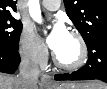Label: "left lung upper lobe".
Masks as SVG:
<instances>
[{
  "mask_svg": "<svg viewBox=\"0 0 107 89\" xmlns=\"http://www.w3.org/2000/svg\"><path fill=\"white\" fill-rule=\"evenodd\" d=\"M64 4L86 44L107 33V0H64Z\"/></svg>",
  "mask_w": 107,
  "mask_h": 89,
  "instance_id": "obj_1",
  "label": "left lung upper lobe"
}]
</instances>
